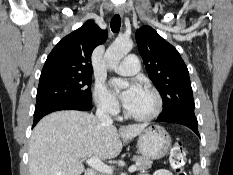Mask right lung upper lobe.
<instances>
[{
    "label": "right lung upper lobe",
    "instance_id": "cb5924a9",
    "mask_svg": "<svg viewBox=\"0 0 233 175\" xmlns=\"http://www.w3.org/2000/svg\"><path fill=\"white\" fill-rule=\"evenodd\" d=\"M106 39V30L100 29L92 20L85 22L54 47L47 57L40 78L92 73V52Z\"/></svg>",
    "mask_w": 233,
    "mask_h": 175
}]
</instances>
